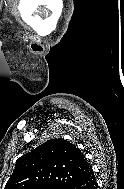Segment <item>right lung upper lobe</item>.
Masks as SVG:
<instances>
[{
  "instance_id": "cb5924a9",
  "label": "right lung upper lobe",
  "mask_w": 124,
  "mask_h": 189,
  "mask_svg": "<svg viewBox=\"0 0 124 189\" xmlns=\"http://www.w3.org/2000/svg\"><path fill=\"white\" fill-rule=\"evenodd\" d=\"M90 168L81 151L64 139H52L17 159L4 189L66 186Z\"/></svg>"
}]
</instances>
